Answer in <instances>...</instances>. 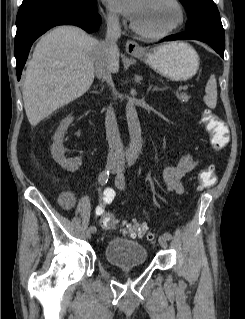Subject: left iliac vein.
<instances>
[{"mask_svg": "<svg viewBox=\"0 0 245 319\" xmlns=\"http://www.w3.org/2000/svg\"><path fill=\"white\" fill-rule=\"evenodd\" d=\"M122 170H123V165L119 164L117 170L114 171V173L116 174L115 184L118 188H121V181L123 180ZM158 241L162 248L164 249L168 248V239L165 238L163 235L159 237Z\"/></svg>", "mask_w": 245, "mask_h": 319, "instance_id": "obj_1", "label": "left iliac vein"}]
</instances>
